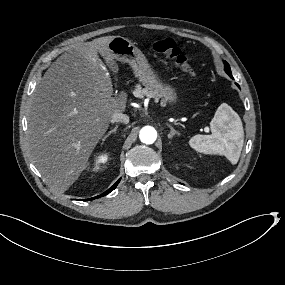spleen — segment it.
<instances>
[{
    "instance_id": "obj_1",
    "label": "spleen",
    "mask_w": 285,
    "mask_h": 285,
    "mask_svg": "<svg viewBox=\"0 0 285 285\" xmlns=\"http://www.w3.org/2000/svg\"><path fill=\"white\" fill-rule=\"evenodd\" d=\"M227 115L226 113L215 114L210 121V129L212 135L197 134L192 136L188 144L198 153L205 155H220L225 156L231 165H235L240 156V149L242 147L243 132L240 126H237L234 131L227 130L221 133L218 129V125L227 127ZM238 146V151L233 152L235 147Z\"/></svg>"
}]
</instances>
